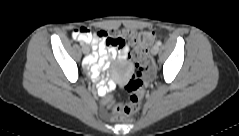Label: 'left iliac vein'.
Wrapping results in <instances>:
<instances>
[{"instance_id":"left-iliac-vein-1","label":"left iliac vein","mask_w":239,"mask_h":136,"mask_svg":"<svg viewBox=\"0 0 239 136\" xmlns=\"http://www.w3.org/2000/svg\"><path fill=\"white\" fill-rule=\"evenodd\" d=\"M158 52H159V47H158V45H154V46L151 48V53H152L153 55H156Z\"/></svg>"}]
</instances>
